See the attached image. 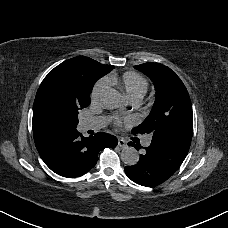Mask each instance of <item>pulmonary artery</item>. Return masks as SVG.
I'll list each match as a JSON object with an SVG mask.
<instances>
[{
    "label": "pulmonary artery",
    "instance_id": "obj_1",
    "mask_svg": "<svg viewBox=\"0 0 228 228\" xmlns=\"http://www.w3.org/2000/svg\"><path fill=\"white\" fill-rule=\"evenodd\" d=\"M132 103H137V100H132ZM86 127H91L92 126V122L91 121H87L85 124ZM149 144V139L145 141V145Z\"/></svg>",
    "mask_w": 228,
    "mask_h": 228
}]
</instances>
